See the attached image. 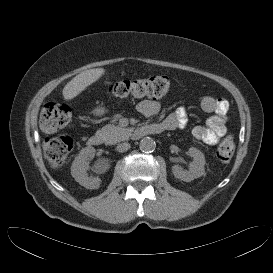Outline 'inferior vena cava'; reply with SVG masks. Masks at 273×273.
I'll return each mask as SVG.
<instances>
[{"label":"inferior vena cava","mask_w":273,"mask_h":273,"mask_svg":"<svg viewBox=\"0 0 273 273\" xmlns=\"http://www.w3.org/2000/svg\"><path fill=\"white\" fill-rule=\"evenodd\" d=\"M128 149H130V144L127 143V142L120 143V144H118L117 147H116V150H117L118 152H125V151H127Z\"/></svg>","instance_id":"1"}]
</instances>
